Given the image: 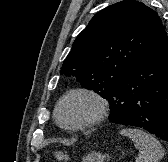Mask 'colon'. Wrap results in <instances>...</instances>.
<instances>
[{
  "label": "colon",
  "mask_w": 168,
  "mask_h": 162,
  "mask_svg": "<svg viewBox=\"0 0 168 162\" xmlns=\"http://www.w3.org/2000/svg\"><path fill=\"white\" fill-rule=\"evenodd\" d=\"M52 158L56 161L65 162L68 160V157L63 152H54Z\"/></svg>",
  "instance_id": "obj_1"
}]
</instances>
